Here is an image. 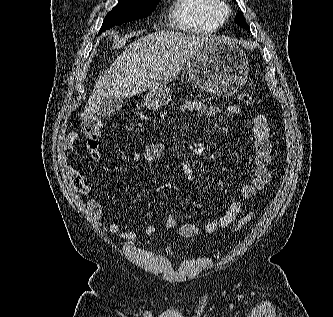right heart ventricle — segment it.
<instances>
[{
    "instance_id": "obj_1",
    "label": "right heart ventricle",
    "mask_w": 333,
    "mask_h": 317,
    "mask_svg": "<svg viewBox=\"0 0 333 317\" xmlns=\"http://www.w3.org/2000/svg\"><path fill=\"white\" fill-rule=\"evenodd\" d=\"M218 0H175L169 19L172 27L191 34H211L225 19L217 12Z\"/></svg>"
}]
</instances>
